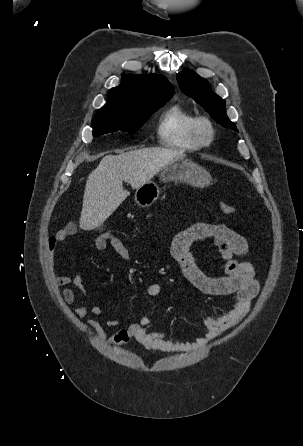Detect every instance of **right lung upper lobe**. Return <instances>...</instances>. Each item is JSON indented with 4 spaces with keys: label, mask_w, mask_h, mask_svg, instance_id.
Segmentation results:
<instances>
[{
    "label": "right lung upper lobe",
    "mask_w": 303,
    "mask_h": 446,
    "mask_svg": "<svg viewBox=\"0 0 303 446\" xmlns=\"http://www.w3.org/2000/svg\"><path fill=\"white\" fill-rule=\"evenodd\" d=\"M174 94L171 83L163 76L128 75L121 85L112 88L101 109L140 112L165 104Z\"/></svg>",
    "instance_id": "cb5924a9"
}]
</instances>
